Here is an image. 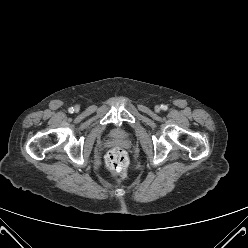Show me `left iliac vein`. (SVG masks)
<instances>
[{"label": "left iliac vein", "instance_id": "1", "mask_svg": "<svg viewBox=\"0 0 248 248\" xmlns=\"http://www.w3.org/2000/svg\"><path fill=\"white\" fill-rule=\"evenodd\" d=\"M156 111H160V107L159 106H156Z\"/></svg>", "mask_w": 248, "mask_h": 248}]
</instances>
